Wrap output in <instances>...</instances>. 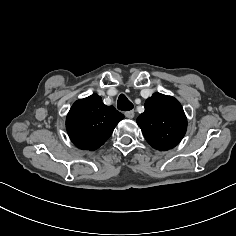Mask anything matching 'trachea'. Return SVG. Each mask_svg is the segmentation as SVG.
I'll return each mask as SVG.
<instances>
[{"mask_svg": "<svg viewBox=\"0 0 236 236\" xmlns=\"http://www.w3.org/2000/svg\"><path fill=\"white\" fill-rule=\"evenodd\" d=\"M117 107L122 111H130L134 108V105L126 98L124 94H121L117 101Z\"/></svg>", "mask_w": 236, "mask_h": 236, "instance_id": "obj_1", "label": "trachea"}]
</instances>
